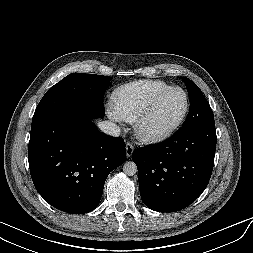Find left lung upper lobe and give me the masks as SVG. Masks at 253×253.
<instances>
[{
  "instance_id": "obj_1",
  "label": "left lung upper lobe",
  "mask_w": 253,
  "mask_h": 253,
  "mask_svg": "<svg viewBox=\"0 0 253 253\" xmlns=\"http://www.w3.org/2000/svg\"><path fill=\"white\" fill-rule=\"evenodd\" d=\"M182 79L188 90L190 110L180 131H189L204 127L208 124H214L213 112L208 101L202 94V91L192 80H189L186 77H183Z\"/></svg>"
}]
</instances>
